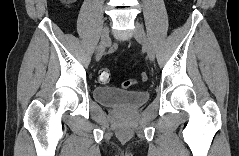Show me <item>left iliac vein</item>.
I'll return each mask as SVG.
<instances>
[{"instance_id": "obj_1", "label": "left iliac vein", "mask_w": 239, "mask_h": 156, "mask_svg": "<svg viewBox=\"0 0 239 156\" xmlns=\"http://www.w3.org/2000/svg\"><path fill=\"white\" fill-rule=\"evenodd\" d=\"M134 37L139 43H141L143 45L144 49L147 52L148 58L151 61H154V59H155L154 48L152 47L151 43L149 42V40L145 34L143 26L137 22L135 23Z\"/></svg>"}]
</instances>
